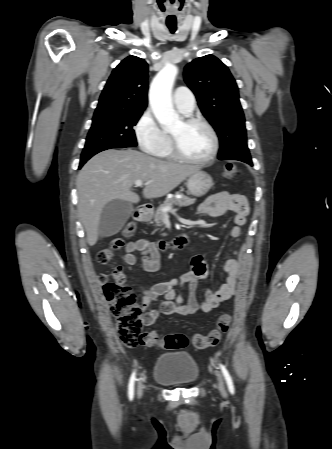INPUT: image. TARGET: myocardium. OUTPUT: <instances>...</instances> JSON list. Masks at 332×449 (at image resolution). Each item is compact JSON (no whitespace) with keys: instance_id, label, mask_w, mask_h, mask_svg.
Returning <instances> with one entry per match:
<instances>
[{"instance_id":"obj_1","label":"myocardium","mask_w":332,"mask_h":449,"mask_svg":"<svg viewBox=\"0 0 332 449\" xmlns=\"http://www.w3.org/2000/svg\"><path fill=\"white\" fill-rule=\"evenodd\" d=\"M181 121L185 125L199 124V125H202L203 127H205L207 129L208 133L210 134L211 141H212V148H211L210 153L206 157H203V158L190 157V156L186 155L181 150L176 138L172 134H169L170 145H171L173 155L179 160H182L187 163H193V164H207V163H210L211 161H213L219 151V139H218V135H217L215 129L213 128V126L205 119L200 118V117H195V116H185L182 118Z\"/></svg>"}]
</instances>
